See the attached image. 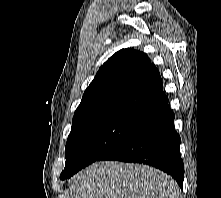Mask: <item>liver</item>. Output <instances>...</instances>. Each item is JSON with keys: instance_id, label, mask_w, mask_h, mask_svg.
<instances>
[{"instance_id": "obj_1", "label": "liver", "mask_w": 221, "mask_h": 198, "mask_svg": "<svg viewBox=\"0 0 221 198\" xmlns=\"http://www.w3.org/2000/svg\"><path fill=\"white\" fill-rule=\"evenodd\" d=\"M71 198H180L178 184L147 165L102 161L77 173Z\"/></svg>"}]
</instances>
